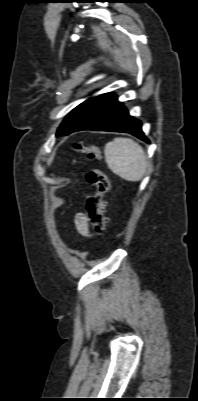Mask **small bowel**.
Returning a JSON list of instances; mask_svg holds the SVG:
<instances>
[{
    "mask_svg": "<svg viewBox=\"0 0 198 401\" xmlns=\"http://www.w3.org/2000/svg\"><path fill=\"white\" fill-rule=\"evenodd\" d=\"M77 232L82 236H89V222L85 213L79 212L74 219Z\"/></svg>",
    "mask_w": 198,
    "mask_h": 401,
    "instance_id": "small-bowel-1",
    "label": "small bowel"
}]
</instances>
